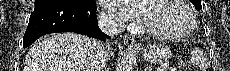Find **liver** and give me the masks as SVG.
Returning a JSON list of instances; mask_svg holds the SVG:
<instances>
[{"label":"liver","mask_w":230,"mask_h":71,"mask_svg":"<svg viewBox=\"0 0 230 71\" xmlns=\"http://www.w3.org/2000/svg\"><path fill=\"white\" fill-rule=\"evenodd\" d=\"M92 40L75 33L40 38L28 51L24 71H85Z\"/></svg>","instance_id":"6515ba94"}]
</instances>
